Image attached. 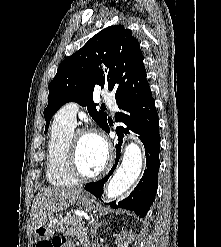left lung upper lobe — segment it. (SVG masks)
Segmentation results:
<instances>
[{
  "label": "left lung upper lobe",
  "mask_w": 221,
  "mask_h": 247,
  "mask_svg": "<svg viewBox=\"0 0 221 247\" xmlns=\"http://www.w3.org/2000/svg\"><path fill=\"white\" fill-rule=\"evenodd\" d=\"M103 62L109 71L98 65ZM115 92L117 103L151 92L139 42L122 25L109 26L93 36L80 50L61 62L49 84L48 106L44 110L45 133L51 117L67 102L86 106L95 122L105 129L107 114L96 110L95 86Z\"/></svg>",
  "instance_id": "1"
}]
</instances>
